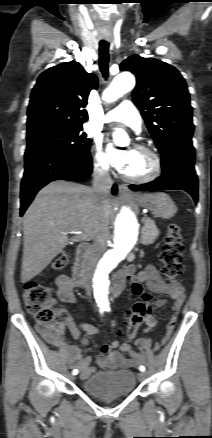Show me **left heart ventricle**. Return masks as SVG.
Segmentation results:
<instances>
[{
	"mask_svg": "<svg viewBox=\"0 0 212 438\" xmlns=\"http://www.w3.org/2000/svg\"><path fill=\"white\" fill-rule=\"evenodd\" d=\"M152 168L151 157L145 152L135 149L123 173L130 177L141 178L148 175Z\"/></svg>",
	"mask_w": 212,
	"mask_h": 438,
	"instance_id": "1",
	"label": "left heart ventricle"
}]
</instances>
